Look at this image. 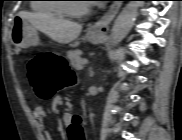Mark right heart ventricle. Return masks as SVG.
Returning a JSON list of instances; mask_svg holds the SVG:
<instances>
[{
    "label": "right heart ventricle",
    "instance_id": "right-heart-ventricle-1",
    "mask_svg": "<svg viewBox=\"0 0 182 140\" xmlns=\"http://www.w3.org/2000/svg\"><path fill=\"white\" fill-rule=\"evenodd\" d=\"M57 1L59 0H32L31 9L45 15L62 16L63 12Z\"/></svg>",
    "mask_w": 182,
    "mask_h": 140
}]
</instances>
